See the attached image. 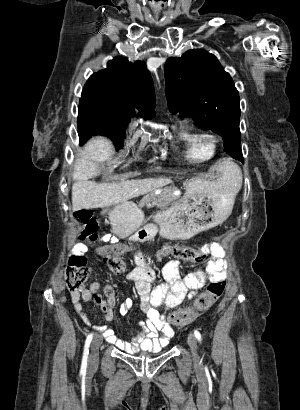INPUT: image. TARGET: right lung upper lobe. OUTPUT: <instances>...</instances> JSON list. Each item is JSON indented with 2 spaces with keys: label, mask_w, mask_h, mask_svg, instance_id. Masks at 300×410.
<instances>
[{
  "label": "right lung upper lobe",
  "mask_w": 300,
  "mask_h": 410,
  "mask_svg": "<svg viewBox=\"0 0 300 410\" xmlns=\"http://www.w3.org/2000/svg\"><path fill=\"white\" fill-rule=\"evenodd\" d=\"M83 91L100 96L106 115L129 121L135 108L144 119L155 115L154 87L144 62L134 64L122 57L90 76Z\"/></svg>",
  "instance_id": "obj_1"
}]
</instances>
